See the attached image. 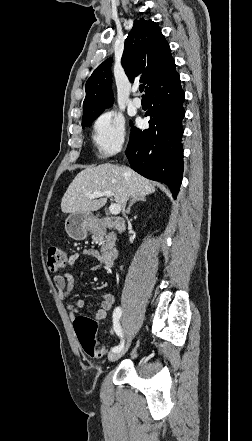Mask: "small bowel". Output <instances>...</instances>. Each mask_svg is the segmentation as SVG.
<instances>
[{
	"label": "small bowel",
	"mask_w": 252,
	"mask_h": 441,
	"mask_svg": "<svg viewBox=\"0 0 252 441\" xmlns=\"http://www.w3.org/2000/svg\"><path fill=\"white\" fill-rule=\"evenodd\" d=\"M82 255H87L90 257H93L95 259H99L100 255L99 252L96 249H83L81 251ZM80 253H74L72 254L68 260L67 264L68 266L73 265L76 260L79 258ZM93 270H100L102 269L101 265H96L92 268ZM54 284L56 287L57 294L60 299L64 300L67 299L71 293L74 290V278L71 274H62L59 273L54 277ZM115 303V297L113 294L106 293L100 296L99 301V308L95 311V313L92 315V318L96 320H102L105 318L107 312L112 309L113 305ZM84 307V301L82 299H78L71 303L69 305V310L71 312V316L74 317L76 314L80 313L81 310ZM114 329V328H113ZM110 333H113V330L110 331Z\"/></svg>",
	"instance_id": "obj_1"
}]
</instances>
